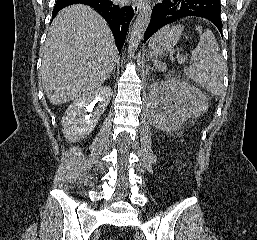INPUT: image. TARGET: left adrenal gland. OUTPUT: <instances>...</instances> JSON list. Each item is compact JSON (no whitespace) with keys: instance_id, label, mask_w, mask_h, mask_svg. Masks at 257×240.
<instances>
[{"instance_id":"1","label":"left adrenal gland","mask_w":257,"mask_h":240,"mask_svg":"<svg viewBox=\"0 0 257 240\" xmlns=\"http://www.w3.org/2000/svg\"><path fill=\"white\" fill-rule=\"evenodd\" d=\"M147 69H151L150 66H147Z\"/></svg>"}]
</instances>
